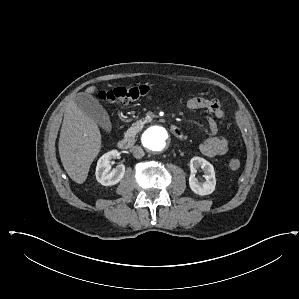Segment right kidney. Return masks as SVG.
Here are the masks:
<instances>
[{"mask_svg": "<svg viewBox=\"0 0 299 299\" xmlns=\"http://www.w3.org/2000/svg\"><path fill=\"white\" fill-rule=\"evenodd\" d=\"M117 156H119V152L112 150L102 155L97 162L96 179L104 186L117 184L125 174V166L123 164L111 170L110 160Z\"/></svg>", "mask_w": 299, "mask_h": 299, "instance_id": "obj_1", "label": "right kidney"}]
</instances>
